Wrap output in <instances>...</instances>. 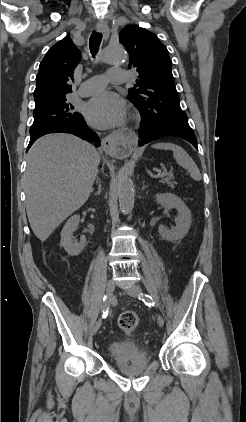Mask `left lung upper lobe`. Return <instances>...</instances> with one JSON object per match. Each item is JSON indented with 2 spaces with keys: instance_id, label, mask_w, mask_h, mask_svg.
I'll use <instances>...</instances> for the list:
<instances>
[{
  "instance_id": "left-lung-upper-lobe-1",
  "label": "left lung upper lobe",
  "mask_w": 246,
  "mask_h": 422,
  "mask_svg": "<svg viewBox=\"0 0 246 422\" xmlns=\"http://www.w3.org/2000/svg\"><path fill=\"white\" fill-rule=\"evenodd\" d=\"M130 56L129 68L139 73L128 99L141 111L147 125L163 121H187L179 104L171 72L172 61L158 37L145 28L127 26L119 34Z\"/></svg>"
}]
</instances>
